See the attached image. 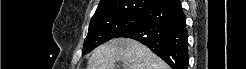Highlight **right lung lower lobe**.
I'll return each instance as SVG.
<instances>
[{
	"label": "right lung lower lobe",
	"mask_w": 246,
	"mask_h": 69,
	"mask_svg": "<svg viewBox=\"0 0 246 69\" xmlns=\"http://www.w3.org/2000/svg\"><path fill=\"white\" fill-rule=\"evenodd\" d=\"M119 37L146 45L172 69L188 68L186 18L179 0H168L145 11L141 22Z\"/></svg>",
	"instance_id": "obj_1"
}]
</instances>
